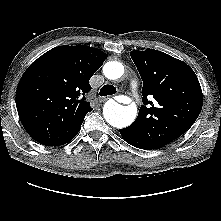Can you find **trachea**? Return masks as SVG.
Returning a JSON list of instances; mask_svg holds the SVG:
<instances>
[{"label":"trachea","mask_w":221,"mask_h":221,"mask_svg":"<svg viewBox=\"0 0 221 221\" xmlns=\"http://www.w3.org/2000/svg\"><path fill=\"white\" fill-rule=\"evenodd\" d=\"M116 91V87H114L113 85H104L101 89H100V96H107V95H113L115 94Z\"/></svg>","instance_id":"obj_1"}]
</instances>
